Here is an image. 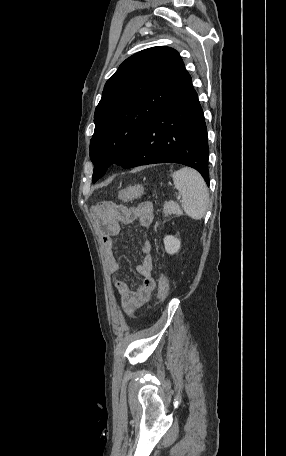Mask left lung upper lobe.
<instances>
[{
	"instance_id": "left-lung-upper-lobe-1",
	"label": "left lung upper lobe",
	"mask_w": 286,
	"mask_h": 456,
	"mask_svg": "<svg viewBox=\"0 0 286 456\" xmlns=\"http://www.w3.org/2000/svg\"><path fill=\"white\" fill-rule=\"evenodd\" d=\"M188 75L179 53L152 47L127 58L104 86L90 141L95 183L122 165L139 135Z\"/></svg>"
}]
</instances>
